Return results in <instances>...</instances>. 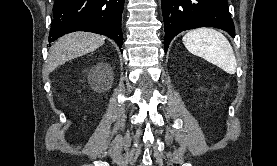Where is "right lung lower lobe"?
<instances>
[{
	"label": "right lung lower lobe",
	"mask_w": 277,
	"mask_h": 166,
	"mask_svg": "<svg viewBox=\"0 0 277 166\" xmlns=\"http://www.w3.org/2000/svg\"><path fill=\"white\" fill-rule=\"evenodd\" d=\"M124 1L55 0L49 41L52 42L70 32L88 31L115 40L121 49Z\"/></svg>",
	"instance_id": "1"
}]
</instances>
